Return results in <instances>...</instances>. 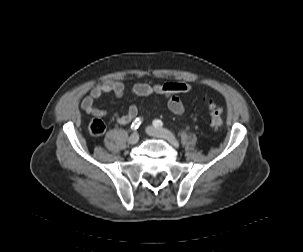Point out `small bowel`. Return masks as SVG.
Returning a JSON list of instances; mask_svg holds the SVG:
<instances>
[{
    "label": "small bowel",
    "mask_w": 303,
    "mask_h": 252,
    "mask_svg": "<svg viewBox=\"0 0 303 252\" xmlns=\"http://www.w3.org/2000/svg\"><path fill=\"white\" fill-rule=\"evenodd\" d=\"M191 91V86L185 82H168L164 84L137 83L132 92L137 96H148L153 93L164 97L167 100L169 110L182 115L185 112V106L179 98L180 94ZM106 93H112L116 98H122L125 93V86L122 82L104 81L95 85L89 94L82 100L81 107L87 113L94 117H104L108 113L105 110L95 106V101ZM139 109L136 105H131L125 114L114 113L112 118L119 124L125 125L138 118Z\"/></svg>",
    "instance_id": "small-bowel-1"
}]
</instances>
